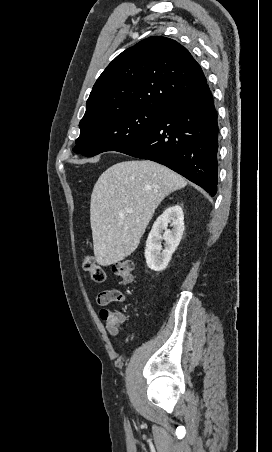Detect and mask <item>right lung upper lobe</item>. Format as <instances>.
I'll return each mask as SVG.
<instances>
[{"mask_svg":"<svg viewBox=\"0 0 272 452\" xmlns=\"http://www.w3.org/2000/svg\"><path fill=\"white\" fill-rule=\"evenodd\" d=\"M207 83L200 65L173 39L153 36L118 55L94 84L82 121L131 108L164 110Z\"/></svg>","mask_w":272,"mask_h":452,"instance_id":"right-lung-upper-lobe-1","label":"right lung upper lobe"}]
</instances>
